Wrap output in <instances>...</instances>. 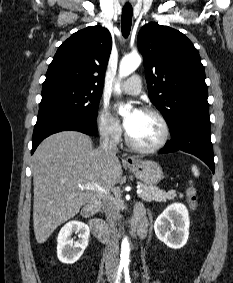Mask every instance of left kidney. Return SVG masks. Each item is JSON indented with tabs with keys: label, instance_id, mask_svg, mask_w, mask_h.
<instances>
[{
	"label": "left kidney",
	"instance_id": "left-kidney-1",
	"mask_svg": "<svg viewBox=\"0 0 233 283\" xmlns=\"http://www.w3.org/2000/svg\"><path fill=\"white\" fill-rule=\"evenodd\" d=\"M189 225L190 219L186 206L174 203L156 219L154 230L158 239L168 247L180 249L188 240Z\"/></svg>",
	"mask_w": 233,
	"mask_h": 283
}]
</instances>
